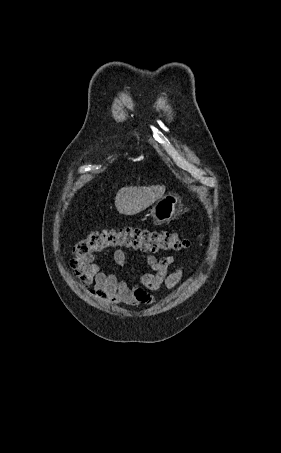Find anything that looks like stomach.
I'll list each match as a JSON object with an SVG mask.
<instances>
[{"mask_svg":"<svg viewBox=\"0 0 281 453\" xmlns=\"http://www.w3.org/2000/svg\"><path fill=\"white\" fill-rule=\"evenodd\" d=\"M180 200L181 198L176 192H169V194H165V196L156 200L149 210L154 222L162 224V222H170L172 218H175L178 214Z\"/></svg>","mask_w":281,"mask_h":453,"instance_id":"obj_1","label":"stomach"}]
</instances>
